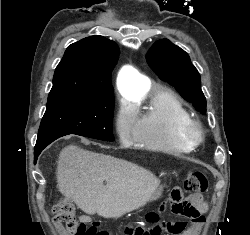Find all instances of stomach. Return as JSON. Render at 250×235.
Returning <instances> with one entry per match:
<instances>
[{
    "label": "stomach",
    "instance_id": "obj_1",
    "mask_svg": "<svg viewBox=\"0 0 250 235\" xmlns=\"http://www.w3.org/2000/svg\"><path fill=\"white\" fill-rule=\"evenodd\" d=\"M160 194H161V190H160V191H157V192L154 194V197H153V198L158 197Z\"/></svg>",
    "mask_w": 250,
    "mask_h": 235
}]
</instances>
